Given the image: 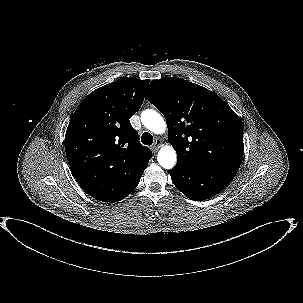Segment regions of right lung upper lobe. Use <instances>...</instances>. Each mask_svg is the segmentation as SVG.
Returning <instances> with one entry per match:
<instances>
[{"label": "right lung upper lobe", "instance_id": "1", "mask_svg": "<svg viewBox=\"0 0 303 303\" xmlns=\"http://www.w3.org/2000/svg\"><path fill=\"white\" fill-rule=\"evenodd\" d=\"M150 80L121 78L81 102L65 135L70 168L93 198L112 202L140 181L152 152L129 119L140 109Z\"/></svg>", "mask_w": 303, "mask_h": 303}]
</instances>
